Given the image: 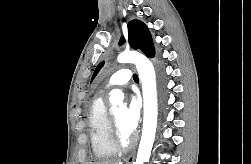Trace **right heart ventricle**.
I'll list each match as a JSON object with an SVG mask.
<instances>
[{"label":"right heart ventricle","instance_id":"right-heart-ventricle-1","mask_svg":"<svg viewBox=\"0 0 251 164\" xmlns=\"http://www.w3.org/2000/svg\"><path fill=\"white\" fill-rule=\"evenodd\" d=\"M88 127L92 150L97 158H109L118 153L112 141L109 113L102 96H97L90 105Z\"/></svg>","mask_w":251,"mask_h":164}]
</instances>
